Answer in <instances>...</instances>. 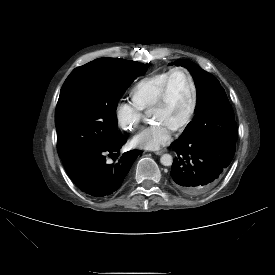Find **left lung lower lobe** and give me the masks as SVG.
Instances as JSON below:
<instances>
[{"instance_id": "obj_1", "label": "left lung lower lobe", "mask_w": 275, "mask_h": 275, "mask_svg": "<svg viewBox=\"0 0 275 275\" xmlns=\"http://www.w3.org/2000/svg\"><path fill=\"white\" fill-rule=\"evenodd\" d=\"M177 153L172 183L182 193L202 194L211 189L234 157L235 142L226 136L179 140L171 144Z\"/></svg>"}]
</instances>
